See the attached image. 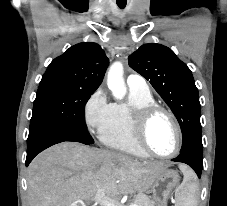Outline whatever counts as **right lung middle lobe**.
<instances>
[{"label":"right lung middle lobe","instance_id":"right-lung-middle-lobe-1","mask_svg":"<svg viewBox=\"0 0 227 206\" xmlns=\"http://www.w3.org/2000/svg\"><path fill=\"white\" fill-rule=\"evenodd\" d=\"M93 91L55 85H39L30 121L29 136L47 128L71 131L93 144L82 115Z\"/></svg>","mask_w":227,"mask_h":206}]
</instances>
